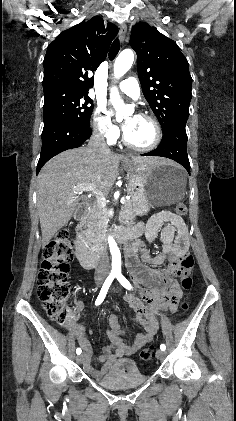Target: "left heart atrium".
Instances as JSON below:
<instances>
[{
  "label": "left heart atrium",
  "mask_w": 236,
  "mask_h": 421,
  "mask_svg": "<svg viewBox=\"0 0 236 421\" xmlns=\"http://www.w3.org/2000/svg\"><path fill=\"white\" fill-rule=\"evenodd\" d=\"M129 126H130V122H125L123 125L124 130L126 131L129 128Z\"/></svg>",
  "instance_id": "1"
}]
</instances>
